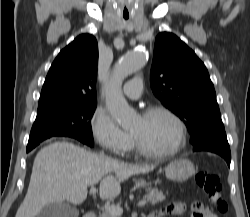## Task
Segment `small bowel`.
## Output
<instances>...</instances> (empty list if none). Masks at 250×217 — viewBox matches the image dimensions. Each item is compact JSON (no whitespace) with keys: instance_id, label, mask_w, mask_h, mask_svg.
Instances as JSON below:
<instances>
[{"instance_id":"obj_1","label":"small bowel","mask_w":250,"mask_h":217,"mask_svg":"<svg viewBox=\"0 0 250 217\" xmlns=\"http://www.w3.org/2000/svg\"><path fill=\"white\" fill-rule=\"evenodd\" d=\"M200 205V211H201V217H218L216 214H214L209 208H206L201 202H195L192 205V208L194 205ZM186 209V206L182 202H173L168 205H166L163 209L160 211H157L158 217H164V216H170V215H180L183 214Z\"/></svg>"}]
</instances>
